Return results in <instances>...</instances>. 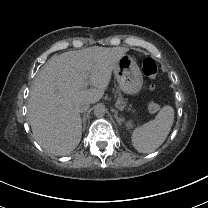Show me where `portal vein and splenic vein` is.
<instances>
[{"mask_svg": "<svg viewBox=\"0 0 208 208\" xmlns=\"http://www.w3.org/2000/svg\"><path fill=\"white\" fill-rule=\"evenodd\" d=\"M88 84H89V81H85L84 84H83V89L87 88ZM115 108L118 111H123L122 104H116Z\"/></svg>", "mask_w": 208, "mask_h": 208, "instance_id": "1", "label": "portal vein and splenic vein"}]
</instances>
